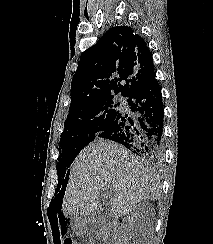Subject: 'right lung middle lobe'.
<instances>
[{"instance_id": "obj_1", "label": "right lung middle lobe", "mask_w": 213, "mask_h": 244, "mask_svg": "<svg viewBox=\"0 0 213 244\" xmlns=\"http://www.w3.org/2000/svg\"><path fill=\"white\" fill-rule=\"evenodd\" d=\"M119 105L114 96L109 95L69 109L60 139V156L56 167L58 186H61L66 168L71 165L78 153L113 124L120 114Z\"/></svg>"}]
</instances>
